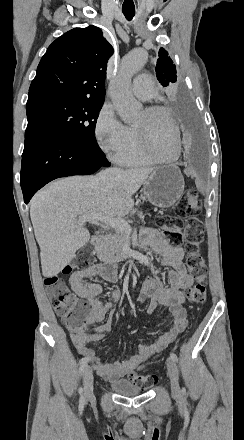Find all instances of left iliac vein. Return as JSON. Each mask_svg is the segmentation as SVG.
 <instances>
[{"label":"left iliac vein","instance_id":"1","mask_svg":"<svg viewBox=\"0 0 244 440\" xmlns=\"http://www.w3.org/2000/svg\"><path fill=\"white\" fill-rule=\"evenodd\" d=\"M167 370L170 376L172 396L177 400H181L182 393L179 386V370L175 361L172 359H167Z\"/></svg>","mask_w":244,"mask_h":440}]
</instances>
